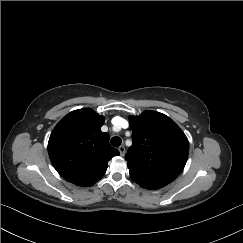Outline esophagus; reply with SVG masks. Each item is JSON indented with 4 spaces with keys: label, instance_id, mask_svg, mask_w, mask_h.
I'll return each mask as SVG.
<instances>
[{
    "label": "esophagus",
    "instance_id": "34e87169",
    "mask_svg": "<svg viewBox=\"0 0 243 243\" xmlns=\"http://www.w3.org/2000/svg\"><path fill=\"white\" fill-rule=\"evenodd\" d=\"M118 150H119L121 156L125 155V147L124 146H119Z\"/></svg>",
    "mask_w": 243,
    "mask_h": 243
}]
</instances>
